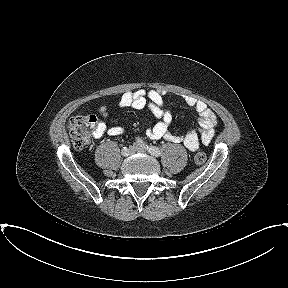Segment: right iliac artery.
I'll list each match as a JSON object with an SVG mask.
<instances>
[{
	"instance_id": "right-iliac-artery-1",
	"label": "right iliac artery",
	"mask_w": 288,
	"mask_h": 288,
	"mask_svg": "<svg viewBox=\"0 0 288 288\" xmlns=\"http://www.w3.org/2000/svg\"><path fill=\"white\" fill-rule=\"evenodd\" d=\"M121 155L122 156H127L128 155V149L126 147L121 149Z\"/></svg>"
}]
</instances>
